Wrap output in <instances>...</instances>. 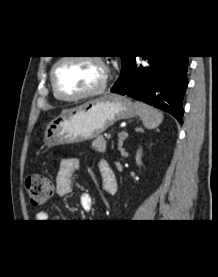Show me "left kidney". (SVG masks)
Here are the masks:
<instances>
[{
    "label": "left kidney",
    "mask_w": 218,
    "mask_h": 277,
    "mask_svg": "<svg viewBox=\"0 0 218 277\" xmlns=\"http://www.w3.org/2000/svg\"><path fill=\"white\" fill-rule=\"evenodd\" d=\"M136 163L138 166H140L142 163H141V149L137 151V154H136Z\"/></svg>",
    "instance_id": "1"
}]
</instances>
